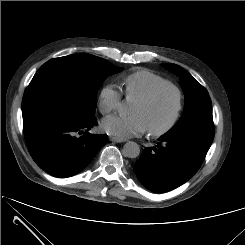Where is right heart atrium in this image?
<instances>
[{
	"instance_id": "right-heart-atrium-1",
	"label": "right heart atrium",
	"mask_w": 245,
	"mask_h": 245,
	"mask_svg": "<svg viewBox=\"0 0 245 245\" xmlns=\"http://www.w3.org/2000/svg\"><path fill=\"white\" fill-rule=\"evenodd\" d=\"M121 103L120 93L112 85H104L98 95V108L101 113L109 114L115 111Z\"/></svg>"
}]
</instances>
